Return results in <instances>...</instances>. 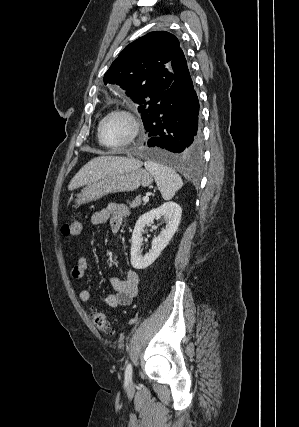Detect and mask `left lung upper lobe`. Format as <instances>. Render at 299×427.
<instances>
[{"label": "left lung upper lobe", "instance_id": "1", "mask_svg": "<svg viewBox=\"0 0 299 427\" xmlns=\"http://www.w3.org/2000/svg\"><path fill=\"white\" fill-rule=\"evenodd\" d=\"M180 43L176 36L155 31L138 38L119 54L104 75V83L126 90L138 110L145 113L156 103L174 79L172 59Z\"/></svg>", "mask_w": 299, "mask_h": 427}]
</instances>
